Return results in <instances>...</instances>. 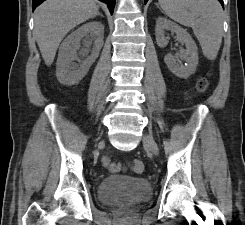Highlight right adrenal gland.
Segmentation results:
<instances>
[{"instance_id": "right-adrenal-gland-1", "label": "right adrenal gland", "mask_w": 245, "mask_h": 225, "mask_svg": "<svg viewBox=\"0 0 245 225\" xmlns=\"http://www.w3.org/2000/svg\"><path fill=\"white\" fill-rule=\"evenodd\" d=\"M98 15L101 16V17H104L103 14H101V13H98Z\"/></svg>"}]
</instances>
